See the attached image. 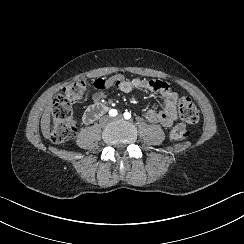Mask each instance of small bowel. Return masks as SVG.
Segmentation results:
<instances>
[{"label":"small bowel","mask_w":244,"mask_h":244,"mask_svg":"<svg viewBox=\"0 0 244 244\" xmlns=\"http://www.w3.org/2000/svg\"><path fill=\"white\" fill-rule=\"evenodd\" d=\"M113 88L124 93L138 89L158 93L162 98L161 110L157 111L155 106H150L145 114V119L150 124H160L163 127H170L177 118L176 103L178 95L164 81H148L141 78L130 79L122 74H117L107 79H98L94 82V92L91 97L93 104L102 102L106 98L107 92ZM89 110L90 108L83 115V121L85 123L93 122Z\"/></svg>","instance_id":"obj_1"}]
</instances>
